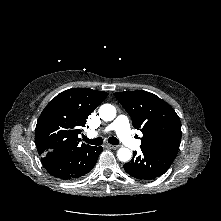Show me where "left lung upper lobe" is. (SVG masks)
Returning <instances> with one entry per match:
<instances>
[{"label": "left lung upper lobe", "mask_w": 221, "mask_h": 221, "mask_svg": "<svg viewBox=\"0 0 221 221\" xmlns=\"http://www.w3.org/2000/svg\"><path fill=\"white\" fill-rule=\"evenodd\" d=\"M114 95L130 115L133 127L143 133L141 148L177 155L181 123L168 103L142 90L116 92Z\"/></svg>", "instance_id": "obj_1"}]
</instances>
